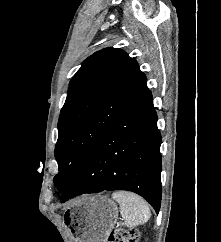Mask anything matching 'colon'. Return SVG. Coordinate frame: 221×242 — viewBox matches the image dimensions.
Segmentation results:
<instances>
[{"label":"colon","mask_w":221,"mask_h":242,"mask_svg":"<svg viewBox=\"0 0 221 242\" xmlns=\"http://www.w3.org/2000/svg\"><path fill=\"white\" fill-rule=\"evenodd\" d=\"M139 234L136 230L123 228L113 229L107 238V242H138Z\"/></svg>","instance_id":"colon-1"}]
</instances>
